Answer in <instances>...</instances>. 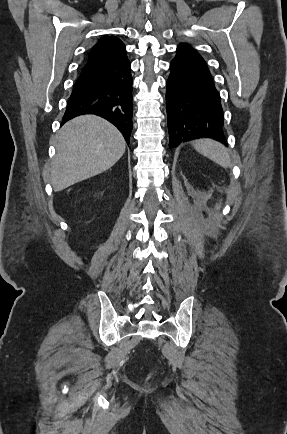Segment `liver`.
<instances>
[{
  "label": "liver",
  "instance_id": "obj_1",
  "mask_svg": "<svg viewBox=\"0 0 287 434\" xmlns=\"http://www.w3.org/2000/svg\"><path fill=\"white\" fill-rule=\"evenodd\" d=\"M126 142L111 123L95 115L67 122L58 133L50 169L54 191L86 180L111 168L124 154Z\"/></svg>",
  "mask_w": 287,
  "mask_h": 434
}]
</instances>
